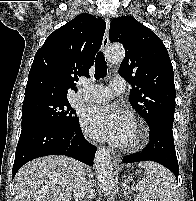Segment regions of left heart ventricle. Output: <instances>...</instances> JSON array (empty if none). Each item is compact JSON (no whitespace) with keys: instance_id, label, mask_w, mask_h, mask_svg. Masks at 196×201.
<instances>
[{"instance_id":"b2bd125f","label":"left heart ventricle","mask_w":196,"mask_h":201,"mask_svg":"<svg viewBox=\"0 0 196 201\" xmlns=\"http://www.w3.org/2000/svg\"><path fill=\"white\" fill-rule=\"evenodd\" d=\"M134 138H135V127L133 128V130H132V132L130 134V137H129V139H128L126 144L132 142Z\"/></svg>"}]
</instances>
